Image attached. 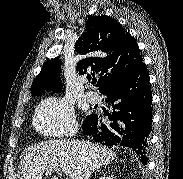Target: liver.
Returning <instances> with one entry per match:
<instances>
[{
    "mask_svg": "<svg viewBox=\"0 0 183 179\" xmlns=\"http://www.w3.org/2000/svg\"><path fill=\"white\" fill-rule=\"evenodd\" d=\"M115 157L113 150L87 141H46L26 150L20 179H42L45 172L58 170L70 179H89L94 170L109 164Z\"/></svg>",
    "mask_w": 183,
    "mask_h": 179,
    "instance_id": "6515ba94",
    "label": "liver"
}]
</instances>
